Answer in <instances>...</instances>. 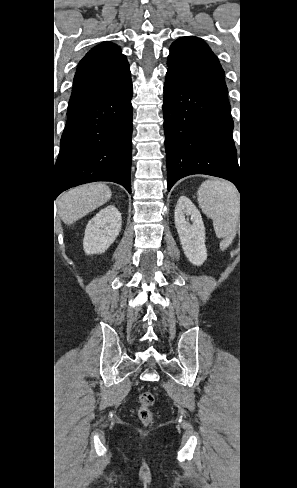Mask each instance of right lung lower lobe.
<instances>
[{"mask_svg": "<svg viewBox=\"0 0 297 488\" xmlns=\"http://www.w3.org/2000/svg\"><path fill=\"white\" fill-rule=\"evenodd\" d=\"M132 83L112 87L67 111L56 162L55 198L84 183L112 181L131 192Z\"/></svg>", "mask_w": 297, "mask_h": 488, "instance_id": "obj_1", "label": "right lung lower lobe"}]
</instances>
